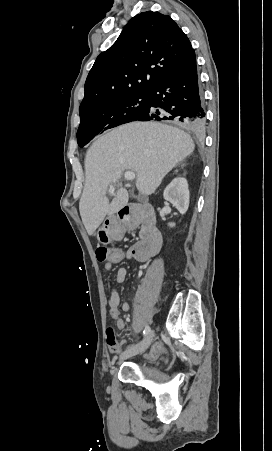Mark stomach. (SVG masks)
<instances>
[{"mask_svg":"<svg viewBox=\"0 0 272 451\" xmlns=\"http://www.w3.org/2000/svg\"><path fill=\"white\" fill-rule=\"evenodd\" d=\"M96 235H97L98 241H100V243H104V245H106V243H110V241H111V237L109 235V229H107V227H105V226L99 227Z\"/></svg>","mask_w":272,"mask_h":451,"instance_id":"stomach-1","label":"stomach"}]
</instances>
